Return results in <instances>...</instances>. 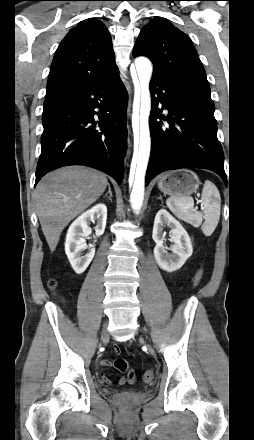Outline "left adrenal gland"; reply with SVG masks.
Listing matches in <instances>:
<instances>
[{
  "instance_id": "left-adrenal-gland-1",
  "label": "left adrenal gland",
  "mask_w": 254,
  "mask_h": 440,
  "mask_svg": "<svg viewBox=\"0 0 254 440\" xmlns=\"http://www.w3.org/2000/svg\"><path fill=\"white\" fill-rule=\"evenodd\" d=\"M158 199H160L161 201H162V197L160 196V197H158Z\"/></svg>"
}]
</instances>
